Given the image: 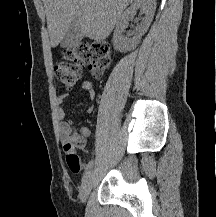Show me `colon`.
Here are the masks:
<instances>
[{
	"label": "colon",
	"instance_id": "colon-1",
	"mask_svg": "<svg viewBox=\"0 0 216 217\" xmlns=\"http://www.w3.org/2000/svg\"><path fill=\"white\" fill-rule=\"evenodd\" d=\"M65 61L54 66L55 77L67 88L73 87L79 80L83 68H88L91 74L99 78L107 70L110 64V46L106 42H81L63 53ZM81 140L71 143L66 152V161L73 172L81 169L80 158L77 149L83 148Z\"/></svg>",
	"mask_w": 216,
	"mask_h": 217
}]
</instances>
